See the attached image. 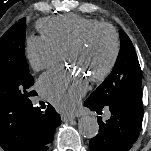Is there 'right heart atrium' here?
Listing matches in <instances>:
<instances>
[{"label":"right heart atrium","mask_w":151,"mask_h":151,"mask_svg":"<svg viewBox=\"0 0 151 151\" xmlns=\"http://www.w3.org/2000/svg\"><path fill=\"white\" fill-rule=\"evenodd\" d=\"M26 58L35 71L54 66L63 53L43 36H31L25 47Z\"/></svg>","instance_id":"obj_1"}]
</instances>
